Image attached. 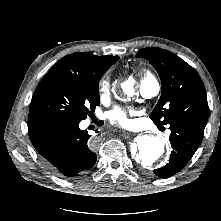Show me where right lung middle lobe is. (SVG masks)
<instances>
[{
	"label": "right lung middle lobe",
	"instance_id": "dd1d6c3e",
	"mask_svg": "<svg viewBox=\"0 0 221 221\" xmlns=\"http://www.w3.org/2000/svg\"><path fill=\"white\" fill-rule=\"evenodd\" d=\"M105 71L85 75L51 68L36 88L30 113L55 114L79 121L86 119L100 104L98 85Z\"/></svg>",
	"mask_w": 221,
	"mask_h": 221
}]
</instances>
